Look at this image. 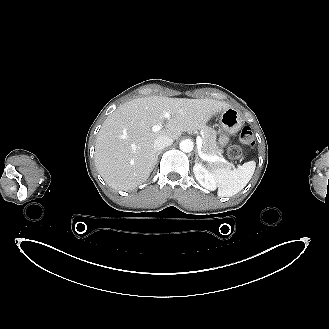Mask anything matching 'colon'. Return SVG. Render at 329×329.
Returning a JSON list of instances; mask_svg holds the SVG:
<instances>
[{"mask_svg":"<svg viewBox=\"0 0 329 329\" xmlns=\"http://www.w3.org/2000/svg\"><path fill=\"white\" fill-rule=\"evenodd\" d=\"M240 141L245 145H253L254 144V134L250 127H244L240 132ZM228 155L232 159H239L243 155V151L240 147L236 145H232L228 149Z\"/></svg>","mask_w":329,"mask_h":329,"instance_id":"5ec220e1","label":"colon"}]
</instances>
